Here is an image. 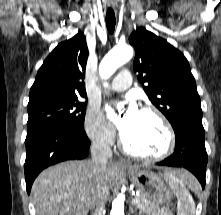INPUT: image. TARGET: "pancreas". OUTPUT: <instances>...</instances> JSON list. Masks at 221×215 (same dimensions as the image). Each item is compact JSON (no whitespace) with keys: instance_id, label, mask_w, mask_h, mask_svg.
I'll return each instance as SVG.
<instances>
[{"instance_id":"pancreas-1","label":"pancreas","mask_w":221,"mask_h":215,"mask_svg":"<svg viewBox=\"0 0 221 215\" xmlns=\"http://www.w3.org/2000/svg\"><path fill=\"white\" fill-rule=\"evenodd\" d=\"M135 199H138V203H136V208L139 212H144L148 215H172L166 210L160 209L156 204L150 202L143 196H135Z\"/></svg>"}]
</instances>
